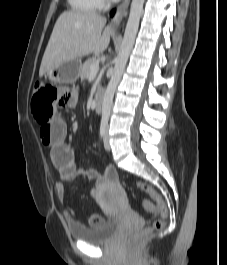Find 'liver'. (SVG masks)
I'll use <instances>...</instances> for the list:
<instances>
[{"instance_id":"obj_1","label":"liver","mask_w":227,"mask_h":265,"mask_svg":"<svg viewBox=\"0 0 227 265\" xmlns=\"http://www.w3.org/2000/svg\"><path fill=\"white\" fill-rule=\"evenodd\" d=\"M105 25L106 18L94 12H63L50 36L39 76L68 61L105 51L113 34L111 28Z\"/></svg>"}]
</instances>
